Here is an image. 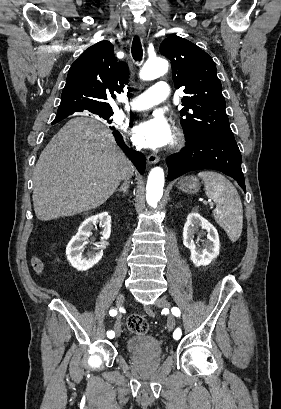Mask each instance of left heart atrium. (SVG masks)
I'll use <instances>...</instances> for the list:
<instances>
[{
  "mask_svg": "<svg viewBox=\"0 0 281 409\" xmlns=\"http://www.w3.org/2000/svg\"><path fill=\"white\" fill-rule=\"evenodd\" d=\"M136 142L147 148H162L172 139V130L163 116H155L143 121L134 130Z\"/></svg>",
  "mask_w": 281,
  "mask_h": 409,
  "instance_id": "1",
  "label": "left heart atrium"
}]
</instances>
